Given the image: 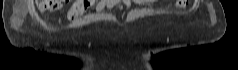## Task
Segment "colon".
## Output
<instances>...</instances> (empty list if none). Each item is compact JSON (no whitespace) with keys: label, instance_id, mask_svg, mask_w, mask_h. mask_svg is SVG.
Instances as JSON below:
<instances>
[{"label":"colon","instance_id":"1","mask_svg":"<svg viewBox=\"0 0 238 70\" xmlns=\"http://www.w3.org/2000/svg\"><path fill=\"white\" fill-rule=\"evenodd\" d=\"M64 2H67V0H38L37 5L41 12H54L59 10ZM178 3L184 5L186 4V0H181Z\"/></svg>","mask_w":238,"mask_h":70}]
</instances>
